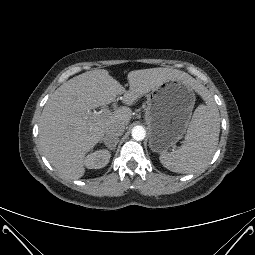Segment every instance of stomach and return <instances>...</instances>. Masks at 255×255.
Returning <instances> with one entry per match:
<instances>
[{"instance_id":"obj_1","label":"stomach","mask_w":255,"mask_h":255,"mask_svg":"<svg viewBox=\"0 0 255 255\" xmlns=\"http://www.w3.org/2000/svg\"><path fill=\"white\" fill-rule=\"evenodd\" d=\"M194 103L193 88L179 78L169 79L149 91L145 121L153 152L165 153L183 137Z\"/></svg>"}]
</instances>
